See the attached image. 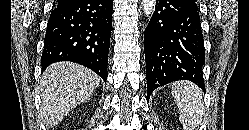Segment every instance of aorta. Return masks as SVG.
Returning <instances> with one entry per match:
<instances>
[{"label":"aorta","instance_id":"obj_1","mask_svg":"<svg viewBox=\"0 0 249 130\" xmlns=\"http://www.w3.org/2000/svg\"><path fill=\"white\" fill-rule=\"evenodd\" d=\"M141 4L144 14L150 18L154 13L156 0H142Z\"/></svg>","mask_w":249,"mask_h":130}]
</instances>
